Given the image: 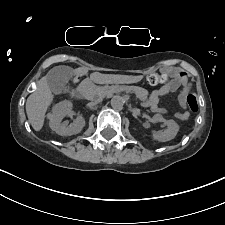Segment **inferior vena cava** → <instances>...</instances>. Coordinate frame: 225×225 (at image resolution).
Returning a JSON list of instances; mask_svg holds the SVG:
<instances>
[{
    "label": "inferior vena cava",
    "instance_id": "602c4592",
    "mask_svg": "<svg viewBox=\"0 0 225 225\" xmlns=\"http://www.w3.org/2000/svg\"><path fill=\"white\" fill-rule=\"evenodd\" d=\"M102 99H103L102 97H97V98L93 99L92 102H90L88 105L94 106V105L100 103L102 101Z\"/></svg>",
    "mask_w": 225,
    "mask_h": 225
}]
</instances>
